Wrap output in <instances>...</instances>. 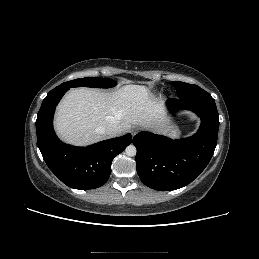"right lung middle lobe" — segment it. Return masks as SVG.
<instances>
[{
    "label": "right lung middle lobe",
    "mask_w": 259,
    "mask_h": 259,
    "mask_svg": "<svg viewBox=\"0 0 259 259\" xmlns=\"http://www.w3.org/2000/svg\"><path fill=\"white\" fill-rule=\"evenodd\" d=\"M116 85V82L111 79L106 78H98V77H85V78H79L72 81H68L65 83H62L61 85L57 86L54 89L58 88H71V87H80V86H86V87H96V88H109Z\"/></svg>",
    "instance_id": "1"
}]
</instances>
